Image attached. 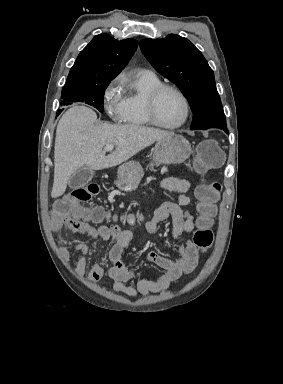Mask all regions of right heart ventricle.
Listing matches in <instances>:
<instances>
[{"instance_id":"1","label":"right heart ventricle","mask_w":283,"mask_h":384,"mask_svg":"<svg viewBox=\"0 0 283 384\" xmlns=\"http://www.w3.org/2000/svg\"><path fill=\"white\" fill-rule=\"evenodd\" d=\"M161 84L156 75L139 72L133 77L130 85L132 89L123 95L122 122L125 125L133 128H147L151 125L144 112V102L147 95Z\"/></svg>"}]
</instances>
